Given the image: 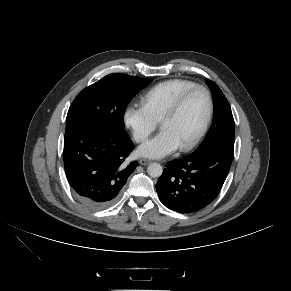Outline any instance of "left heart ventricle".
<instances>
[{
  "label": "left heart ventricle",
  "mask_w": 291,
  "mask_h": 291,
  "mask_svg": "<svg viewBox=\"0 0 291 291\" xmlns=\"http://www.w3.org/2000/svg\"><path fill=\"white\" fill-rule=\"evenodd\" d=\"M206 111L207 98L204 92L195 91L185 100L175 116L161 124V129L170 131L181 146L190 141L197 133Z\"/></svg>",
  "instance_id": "1"
}]
</instances>
